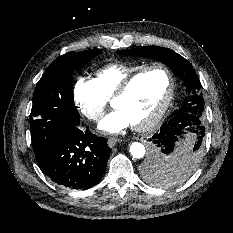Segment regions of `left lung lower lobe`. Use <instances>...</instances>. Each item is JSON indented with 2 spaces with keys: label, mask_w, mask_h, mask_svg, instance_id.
I'll list each match as a JSON object with an SVG mask.
<instances>
[{
  "label": "left lung lower lobe",
  "mask_w": 233,
  "mask_h": 233,
  "mask_svg": "<svg viewBox=\"0 0 233 233\" xmlns=\"http://www.w3.org/2000/svg\"><path fill=\"white\" fill-rule=\"evenodd\" d=\"M204 136L205 128L199 121L183 124L176 119H168L150 139L153 152L147 164L145 176L155 178L156 174H161L166 178H157L156 181H166V183L181 179L176 168L168 167L164 164V160L185 161L190 158L198 160L202 151L201 145ZM187 137L191 139L185 141Z\"/></svg>",
  "instance_id": "obj_1"
}]
</instances>
